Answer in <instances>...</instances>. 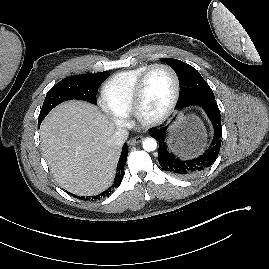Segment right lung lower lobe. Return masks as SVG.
<instances>
[{
	"instance_id": "98d812e1",
	"label": "right lung lower lobe",
	"mask_w": 269,
	"mask_h": 269,
	"mask_svg": "<svg viewBox=\"0 0 269 269\" xmlns=\"http://www.w3.org/2000/svg\"><path fill=\"white\" fill-rule=\"evenodd\" d=\"M127 155H128L127 144H124L123 148H122V153H121V156L119 158L118 165H117V169H116L117 173H116L113 185L109 189H107L103 193L96 195V196H93V197H77V198H83L84 200H98L101 197H105V196L110 195V193L114 190V188H117L122 182L123 175H124V166L126 164Z\"/></svg>"
}]
</instances>
